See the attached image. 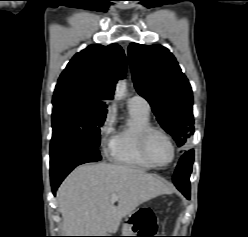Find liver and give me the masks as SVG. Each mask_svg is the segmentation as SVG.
Here are the masks:
<instances>
[{"instance_id":"liver-1","label":"liver","mask_w":248,"mask_h":237,"mask_svg":"<svg viewBox=\"0 0 248 237\" xmlns=\"http://www.w3.org/2000/svg\"><path fill=\"white\" fill-rule=\"evenodd\" d=\"M172 190L155 176L130 166L107 163L76 168L57 197L64 236H106L140 204ZM118 196V205L111 195Z\"/></svg>"}]
</instances>
